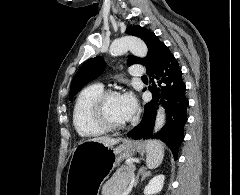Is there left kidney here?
<instances>
[{"label":"left kidney","mask_w":240,"mask_h":195,"mask_svg":"<svg viewBox=\"0 0 240 195\" xmlns=\"http://www.w3.org/2000/svg\"><path fill=\"white\" fill-rule=\"evenodd\" d=\"M165 175H155L150 179L149 183L144 187V195H154V193H159L163 187Z\"/></svg>","instance_id":"5707ae66"}]
</instances>
